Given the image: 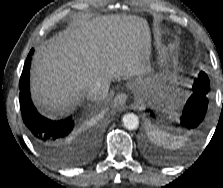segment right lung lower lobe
<instances>
[{
	"mask_svg": "<svg viewBox=\"0 0 223 188\" xmlns=\"http://www.w3.org/2000/svg\"><path fill=\"white\" fill-rule=\"evenodd\" d=\"M33 52L34 50H31L27 56L19 83V100L23 122L33 142L49 160L62 167L79 166L86 162L88 157L98 148L99 135L95 130H92L85 136L87 149L85 152L65 149L76 138L71 134L73 130L71 118L60 121L49 120L37 112L31 101L29 67Z\"/></svg>",
	"mask_w": 223,
	"mask_h": 188,
	"instance_id": "right-lung-lower-lobe-1",
	"label": "right lung lower lobe"
}]
</instances>
